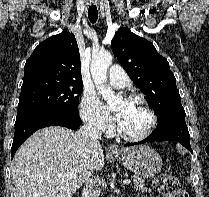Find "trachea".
<instances>
[{"label":"trachea","instance_id":"1","mask_svg":"<svg viewBox=\"0 0 209 197\" xmlns=\"http://www.w3.org/2000/svg\"><path fill=\"white\" fill-rule=\"evenodd\" d=\"M88 18L91 23H96L97 18H98V11H97V7L95 5H92L89 7Z\"/></svg>","mask_w":209,"mask_h":197}]
</instances>
